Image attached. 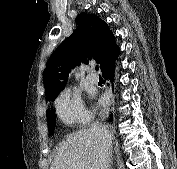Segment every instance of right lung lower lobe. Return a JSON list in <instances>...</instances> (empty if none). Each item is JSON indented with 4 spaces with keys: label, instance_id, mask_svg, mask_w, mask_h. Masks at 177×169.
Returning <instances> with one entry per match:
<instances>
[{
    "label": "right lung lower lobe",
    "instance_id": "obj_1",
    "mask_svg": "<svg viewBox=\"0 0 177 169\" xmlns=\"http://www.w3.org/2000/svg\"><path fill=\"white\" fill-rule=\"evenodd\" d=\"M102 75L106 80H108L113 85V82L115 80V63L106 67L102 71ZM109 117H110V120H112L113 115L111 114Z\"/></svg>",
    "mask_w": 177,
    "mask_h": 169
}]
</instances>
